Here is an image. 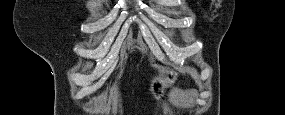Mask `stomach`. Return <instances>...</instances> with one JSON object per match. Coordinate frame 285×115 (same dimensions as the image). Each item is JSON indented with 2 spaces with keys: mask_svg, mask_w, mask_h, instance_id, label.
Listing matches in <instances>:
<instances>
[{
  "mask_svg": "<svg viewBox=\"0 0 285 115\" xmlns=\"http://www.w3.org/2000/svg\"><path fill=\"white\" fill-rule=\"evenodd\" d=\"M176 79L177 73L175 71H169L166 76L153 81L150 87L152 96L157 100L161 99L164 96L166 89L173 85Z\"/></svg>",
  "mask_w": 285,
  "mask_h": 115,
  "instance_id": "stomach-1",
  "label": "stomach"
}]
</instances>
